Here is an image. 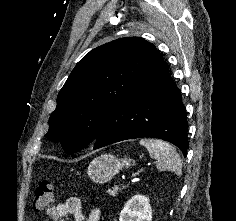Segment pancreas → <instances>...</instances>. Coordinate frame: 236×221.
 Segmentation results:
<instances>
[{
	"instance_id": "cf45deb5",
	"label": "pancreas",
	"mask_w": 236,
	"mask_h": 221,
	"mask_svg": "<svg viewBox=\"0 0 236 221\" xmlns=\"http://www.w3.org/2000/svg\"><path fill=\"white\" fill-rule=\"evenodd\" d=\"M118 187L117 186H115V187H113V189L111 190V189H108L107 190V193L109 194V195H111V196H115V195H117V193H118Z\"/></svg>"
}]
</instances>
